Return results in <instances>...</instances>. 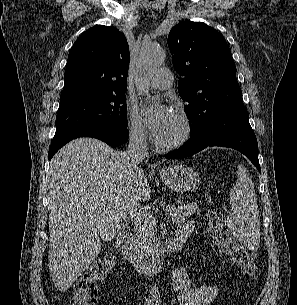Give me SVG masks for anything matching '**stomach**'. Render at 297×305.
<instances>
[{
    "label": "stomach",
    "instance_id": "0dacf381",
    "mask_svg": "<svg viewBox=\"0 0 297 305\" xmlns=\"http://www.w3.org/2000/svg\"><path fill=\"white\" fill-rule=\"evenodd\" d=\"M159 174L162 182L177 193L194 191L200 184L198 172L184 164L164 167Z\"/></svg>",
    "mask_w": 297,
    "mask_h": 305
}]
</instances>
